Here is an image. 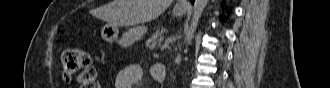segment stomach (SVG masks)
<instances>
[{
	"mask_svg": "<svg viewBox=\"0 0 330 88\" xmlns=\"http://www.w3.org/2000/svg\"><path fill=\"white\" fill-rule=\"evenodd\" d=\"M187 9L176 5L173 9V15L182 16ZM147 31L145 26H136L126 31L119 40L120 45L127 47L140 40ZM102 38L108 42L115 41L118 36V26L106 24L101 31Z\"/></svg>",
	"mask_w": 330,
	"mask_h": 88,
	"instance_id": "obj_1",
	"label": "stomach"
}]
</instances>
